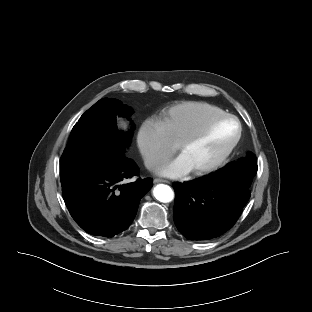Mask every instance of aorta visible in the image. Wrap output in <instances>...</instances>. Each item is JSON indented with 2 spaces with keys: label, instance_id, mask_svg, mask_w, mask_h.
Wrapping results in <instances>:
<instances>
[{
  "label": "aorta",
  "instance_id": "obj_1",
  "mask_svg": "<svg viewBox=\"0 0 312 312\" xmlns=\"http://www.w3.org/2000/svg\"><path fill=\"white\" fill-rule=\"evenodd\" d=\"M154 197L163 203L171 202L174 198V192L170 186L165 184L157 185L153 190Z\"/></svg>",
  "mask_w": 312,
  "mask_h": 312
}]
</instances>
